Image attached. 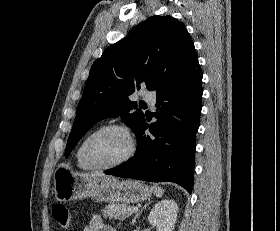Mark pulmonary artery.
Wrapping results in <instances>:
<instances>
[{"instance_id":"obj_1","label":"pulmonary artery","mask_w":280,"mask_h":231,"mask_svg":"<svg viewBox=\"0 0 280 231\" xmlns=\"http://www.w3.org/2000/svg\"><path fill=\"white\" fill-rule=\"evenodd\" d=\"M143 98L151 105H154L156 102V93L153 91H143L142 94Z\"/></svg>"}]
</instances>
